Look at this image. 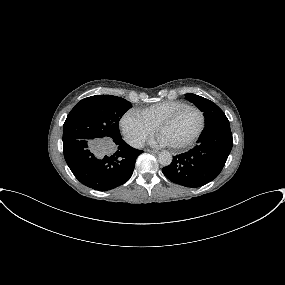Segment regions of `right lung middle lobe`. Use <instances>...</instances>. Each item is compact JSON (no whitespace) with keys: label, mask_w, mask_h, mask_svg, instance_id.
I'll return each instance as SVG.
<instances>
[{"label":"right lung middle lobe","mask_w":285,"mask_h":285,"mask_svg":"<svg viewBox=\"0 0 285 285\" xmlns=\"http://www.w3.org/2000/svg\"><path fill=\"white\" fill-rule=\"evenodd\" d=\"M130 108V102L112 95L82 99L66 118L63 143L76 139L106 142L120 139L119 121Z\"/></svg>","instance_id":"1"}]
</instances>
